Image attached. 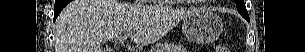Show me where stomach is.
I'll return each instance as SVG.
<instances>
[{
  "label": "stomach",
  "mask_w": 305,
  "mask_h": 52,
  "mask_svg": "<svg viewBox=\"0 0 305 52\" xmlns=\"http://www.w3.org/2000/svg\"><path fill=\"white\" fill-rule=\"evenodd\" d=\"M221 18L206 9H194L183 19L182 32L193 42L208 44L217 39L222 31Z\"/></svg>",
  "instance_id": "1"
}]
</instances>
